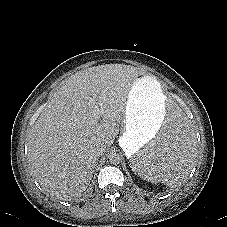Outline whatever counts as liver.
Wrapping results in <instances>:
<instances>
[{
	"mask_svg": "<svg viewBox=\"0 0 227 227\" xmlns=\"http://www.w3.org/2000/svg\"><path fill=\"white\" fill-rule=\"evenodd\" d=\"M142 73L123 64L94 66L70 76L53 94L28 133L30 169L43 190L65 200L86 190L97 164L94 149L114 142Z\"/></svg>",
	"mask_w": 227,
	"mask_h": 227,
	"instance_id": "6515ba94",
	"label": "liver"
}]
</instances>
